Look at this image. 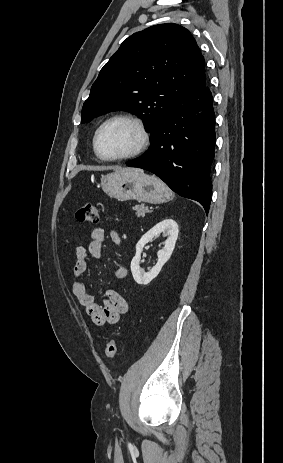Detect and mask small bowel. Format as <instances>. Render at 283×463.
Instances as JSON below:
<instances>
[{"label": "small bowel", "mask_w": 283, "mask_h": 463, "mask_svg": "<svg viewBox=\"0 0 283 463\" xmlns=\"http://www.w3.org/2000/svg\"><path fill=\"white\" fill-rule=\"evenodd\" d=\"M107 236L117 246H121L119 234L110 230L108 234L101 227H94L91 230V242L87 247L79 246L75 252L74 279L71 284L73 296L84 307L87 315L96 325L106 323L115 324L119 318L127 313L129 309L128 301L115 290L106 291L105 298L99 304L95 298L87 291L83 281V276L88 268V256L100 258L103 254V246ZM114 276L117 279H125L128 276V269L123 264H117L114 267Z\"/></svg>", "instance_id": "1"}]
</instances>
